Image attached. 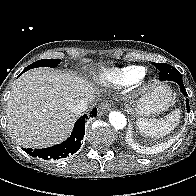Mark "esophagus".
I'll use <instances>...</instances> for the list:
<instances>
[{"instance_id": "34e87169", "label": "esophagus", "mask_w": 196, "mask_h": 196, "mask_svg": "<svg viewBox=\"0 0 196 196\" xmlns=\"http://www.w3.org/2000/svg\"><path fill=\"white\" fill-rule=\"evenodd\" d=\"M111 110V103L109 101H104L99 105V112L101 114L107 113Z\"/></svg>"}]
</instances>
